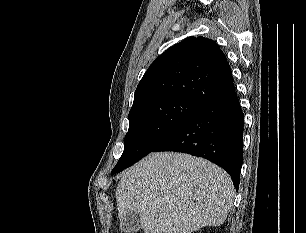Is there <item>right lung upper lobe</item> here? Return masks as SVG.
<instances>
[{
  "instance_id": "right-lung-upper-lobe-1",
  "label": "right lung upper lobe",
  "mask_w": 306,
  "mask_h": 233,
  "mask_svg": "<svg viewBox=\"0 0 306 233\" xmlns=\"http://www.w3.org/2000/svg\"><path fill=\"white\" fill-rule=\"evenodd\" d=\"M232 89L231 68L219 46L208 38L188 37L150 65L137 86L130 111L173 97L204 105Z\"/></svg>"
}]
</instances>
